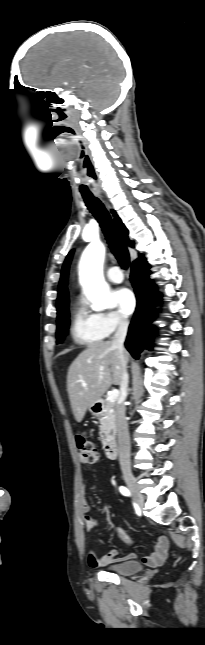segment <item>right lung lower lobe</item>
Masks as SVG:
<instances>
[{
	"mask_svg": "<svg viewBox=\"0 0 205 645\" xmlns=\"http://www.w3.org/2000/svg\"><path fill=\"white\" fill-rule=\"evenodd\" d=\"M131 282L137 298V307L129 326L125 346L135 359L141 351L150 346L155 334L151 322L156 317L155 302L160 301V293L149 278L150 265L141 257L131 266Z\"/></svg>",
	"mask_w": 205,
	"mask_h": 645,
	"instance_id": "right-lung-lower-lobe-1",
	"label": "right lung lower lobe"
}]
</instances>
